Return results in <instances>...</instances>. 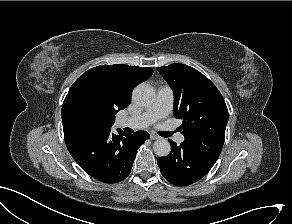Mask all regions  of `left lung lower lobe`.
Returning <instances> with one entry per match:
<instances>
[{
    "label": "left lung lower lobe",
    "mask_w": 292,
    "mask_h": 224,
    "mask_svg": "<svg viewBox=\"0 0 292 224\" xmlns=\"http://www.w3.org/2000/svg\"><path fill=\"white\" fill-rule=\"evenodd\" d=\"M169 143L170 154L158 158L157 164L163 177L174 185L185 186L200 180L217 161L184 143L177 146L170 139Z\"/></svg>",
    "instance_id": "1"
}]
</instances>
